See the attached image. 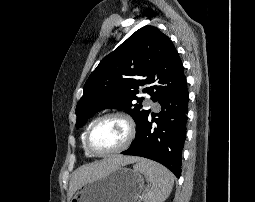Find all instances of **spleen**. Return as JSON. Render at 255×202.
Segmentation results:
<instances>
[{"label":"spleen","mask_w":255,"mask_h":202,"mask_svg":"<svg viewBox=\"0 0 255 202\" xmlns=\"http://www.w3.org/2000/svg\"><path fill=\"white\" fill-rule=\"evenodd\" d=\"M133 168L151 184L144 202H164L168 198L173 188L174 175L167 168L147 159H139Z\"/></svg>","instance_id":"1"}]
</instances>
